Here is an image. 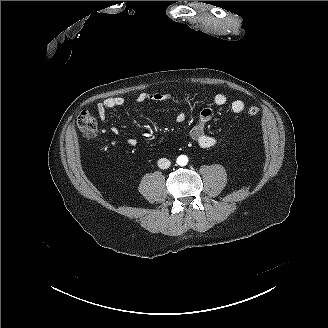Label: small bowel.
<instances>
[{
	"label": "small bowel",
	"instance_id": "obj_1",
	"mask_svg": "<svg viewBox=\"0 0 328 328\" xmlns=\"http://www.w3.org/2000/svg\"><path fill=\"white\" fill-rule=\"evenodd\" d=\"M170 98L168 92H143L136 97L137 103L145 102H161L166 101ZM214 103L217 106H224L228 103V98L223 93H218L213 98ZM125 103L122 97L107 98L97 105L98 116L104 120L106 118L107 112L111 109L121 107ZM230 108L234 113H240L244 111L245 104L241 100H234L230 104ZM214 115V110L212 108H204L200 114L197 123L190 129L188 136L189 138L197 143L203 149H209L213 147L216 140L213 136L207 133L206 125L212 119ZM178 122H183L185 120V114L179 113L176 116ZM113 134H118V129L116 127L111 128ZM137 140L131 138L128 140V145L135 146Z\"/></svg>",
	"mask_w": 328,
	"mask_h": 328
}]
</instances>
